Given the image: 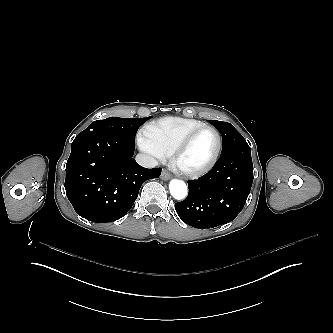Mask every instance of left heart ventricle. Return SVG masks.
Instances as JSON below:
<instances>
[{
    "label": "left heart ventricle",
    "mask_w": 333,
    "mask_h": 333,
    "mask_svg": "<svg viewBox=\"0 0 333 333\" xmlns=\"http://www.w3.org/2000/svg\"><path fill=\"white\" fill-rule=\"evenodd\" d=\"M217 148L215 134L205 129L192 139L188 147L177 159V167L185 170L197 169L205 166L214 156Z\"/></svg>",
    "instance_id": "left-heart-ventricle-1"
}]
</instances>
